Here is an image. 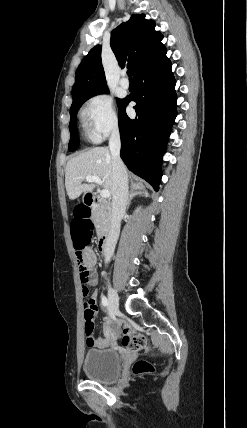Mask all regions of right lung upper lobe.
<instances>
[{"mask_svg": "<svg viewBox=\"0 0 247 428\" xmlns=\"http://www.w3.org/2000/svg\"><path fill=\"white\" fill-rule=\"evenodd\" d=\"M155 22L144 14H134L111 34L110 45L121 66L133 71L134 77L166 56L161 43L163 35L155 31ZM108 90L101 63V46L97 45L84 57L76 72L72 88L73 103L94 93Z\"/></svg>", "mask_w": 247, "mask_h": 428, "instance_id": "cb5924a9", "label": "right lung upper lobe"}]
</instances>
